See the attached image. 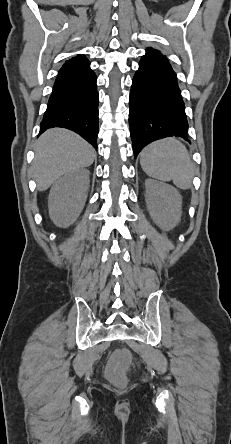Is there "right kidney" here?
Instances as JSON below:
<instances>
[{"instance_id":"obj_1","label":"right kidney","mask_w":231,"mask_h":444,"mask_svg":"<svg viewBox=\"0 0 231 444\" xmlns=\"http://www.w3.org/2000/svg\"><path fill=\"white\" fill-rule=\"evenodd\" d=\"M89 171L81 169L67 173L51 187L49 215L55 225L66 228L80 215L89 190Z\"/></svg>"}]
</instances>
